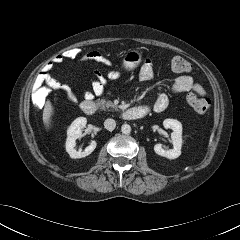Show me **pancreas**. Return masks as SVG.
Wrapping results in <instances>:
<instances>
[{
  "mask_svg": "<svg viewBox=\"0 0 240 240\" xmlns=\"http://www.w3.org/2000/svg\"><path fill=\"white\" fill-rule=\"evenodd\" d=\"M97 105L102 110L109 109V108L111 110H118L117 107L110 100H106V99H98Z\"/></svg>",
  "mask_w": 240,
  "mask_h": 240,
  "instance_id": "pancreas-1",
  "label": "pancreas"
}]
</instances>
